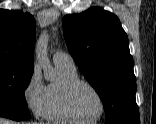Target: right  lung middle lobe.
I'll list each match as a JSON object with an SVG mask.
<instances>
[{
    "mask_svg": "<svg viewBox=\"0 0 156 124\" xmlns=\"http://www.w3.org/2000/svg\"><path fill=\"white\" fill-rule=\"evenodd\" d=\"M34 69L0 64V105L27 109L25 90Z\"/></svg>",
    "mask_w": 156,
    "mask_h": 124,
    "instance_id": "dd1d6c3e",
    "label": "right lung middle lobe"
}]
</instances>
